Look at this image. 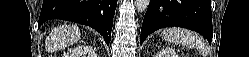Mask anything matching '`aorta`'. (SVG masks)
<instances>
[{
	"instance_id": "762f6f07",
	"label": "aorta",
	"mask_w": 249,
	"mask_h": 57,
	"mask_svg": "<svg viewBox=\"0 0 249 57\" xmlns=\"http://www.w3.org/2000/svg\"><path fill=\"white\" fill-rule=\"evenodd\" d=\"M150 0H135V6L137 9L138 13H143L148 5H149Z\"/></svg>"
}]
</instances>
